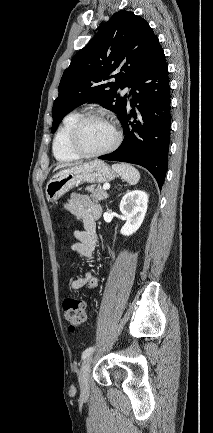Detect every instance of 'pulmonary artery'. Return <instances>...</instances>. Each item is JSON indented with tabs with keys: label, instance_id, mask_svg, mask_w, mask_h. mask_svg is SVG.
Listing matches in <instances>:
<instances>
[{
	"label": "pulmonary artery",
	"instance_id": "pulmonary-artery-1",
	"mask_svg": "<svg viewBox=\"0 0 213 433\" xmlns=\"http://www.w3.org/2000/svg\"><path fill=\"white\" fill-rule=\"evenodd\" d=\"M123 92L126 93V94H128L129 99H132V95H131V93H130V88H129V87H126V88L123 90Z\"/></svg>",
	"mask_w": 213,
	"mask_h": 433
}]
</instances>
